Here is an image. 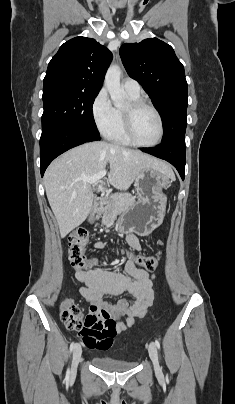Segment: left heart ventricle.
<instances>
[{
	"mask_svg": "<svg viewBox=\"0 0 235 404\" xmlns=\"http://www.w3.org/2000/svg\"><path fill=\"white\" fill-rule=\"evenodd\" d=\"M133 130L139 142H154L159 135V124L156 115L147 108L139 110L134 117Z\"/></svg>",
	"mask_w": 235,
	"mask_h": 404,
	"instance_id": "left-heart-ventricle-1",
	"label": "left heart ventricle"
}]
</instances>
